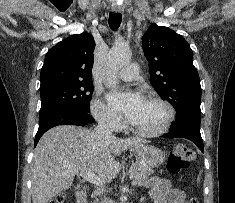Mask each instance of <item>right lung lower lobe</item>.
Listing matches in <instances>:
<instances>
[{"label":"right lung lower lobe","instance_id":"98d812e1","mask_svg":"<svg viewBox=\"0 0 235 203\" xmlns=\"http://www.w3.org/2000/svg\"><path fill=\"white\" fill-rule=\"evenodd\" d=\"M93 122L94 119L88 113L74 109H60L43 116H39V128L35 137L34 146H36L41 136L54 126H84Z\"/></svg>","mask_w":235,"mask_h":203}]
</instances>
